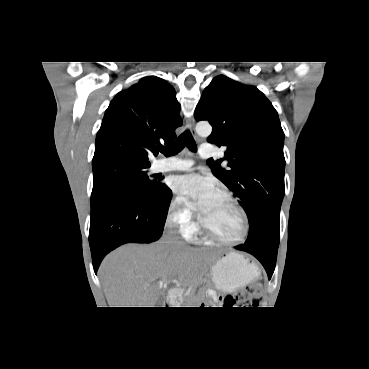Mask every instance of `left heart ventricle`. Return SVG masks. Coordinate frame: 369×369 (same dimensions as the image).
<instances>
[{"label": "left heart ventricle", "mask_w": 369, "mask_h": 369, "mask_svg": "<svg viewBox=\"0 0 369 369\" xmlns=\"http://www.w3.org/2000/svg\"><path fill=\"white\" fill-rule=\"evenodd\" d=\"M201 217L211 231L223 238H237L242 233L239 211L227 198L217 193L201 212Z\"/></svg>", "instance_id": "obj_1"}]
</instances>
